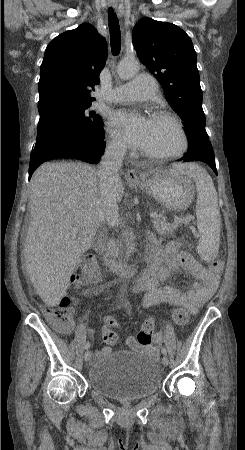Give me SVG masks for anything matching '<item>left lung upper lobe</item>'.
I'll list each match as a JSON object with an SVG mask.
<instances>
[{
  "label": "left lung upper lobe",
  "instance_id": "5c2ea615",
  "mask_svg": "<svg viewBox=\"0 0 245 450\" xmlns=\"http://www.w3.org/2000/svg\"><path fill=\"white\" fill-rule=\"evenodd\" d=\"M132 40L138 58L160 82L169 104L183 120L187 153L211 148L190 37L174 24L143 18L135 25Z\"/></svg>",
  "mask_w": 245,
  "mask_h": 450
}]
</instances>
